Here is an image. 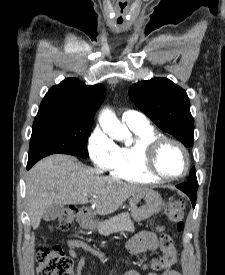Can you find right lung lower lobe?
Segmentation results:
<instances>
[{
    "instance_id": "98d812e1",
    "label": "right lung lower lobe",
    "mask_w": 225,
    "mask_h": 275,
    "mask_svg": "<svg viewBox=\"0 0 225 275\" xmlns=\"http://www.w3.org/2000/svg\"><path fill=\"white\" fill-rule=\"evenodd\" d=\"M27 168H30V166H29V165H27Z\"/></svg>"
}]
</instances>
